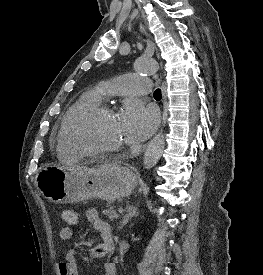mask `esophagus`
Segmentation results:
<instances>
[{
    "mask_svg": "<svg viewBox=\"0 0 263 275\" xmlns=\"http://www.w3.org/2000/svg\"><path fill=\"white\" fill-rule=\"evenodd\" d=\"M140 28L142 31H144L146 33L145 27L143 25H140ZM165 89H166V85L163 82L162 83V99H164V97H165Z\"/></svg>",
    "mask_w": 263,
    "mask_h": 275,
    "instance_id": "obj_1",
    "label": "esophagus"
}]
</instances>
